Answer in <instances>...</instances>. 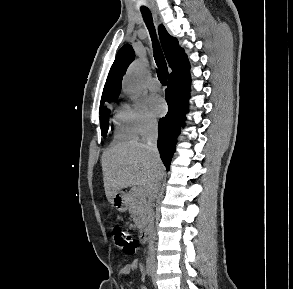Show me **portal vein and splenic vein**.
<instances>
[{
	"label": "portal vein and splenic vein",
	"mask_w": 293,
	"mask_h": 289,
	"mask_svg": "<svg viewBox=\"0 0 293 289\" xmlns=\"http://www.w3.org/2000/svg\"><path fill=\"white\" fill-rule=\"evenodd\" d=\"M135 190L137 193H143V190L140 187H136Z\"/></svg>",
	"instance_id": "1"
}]
</instances>
